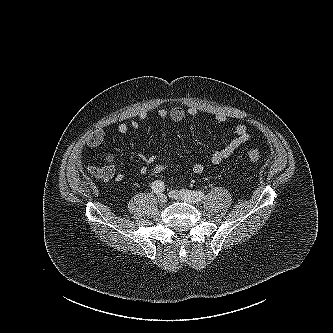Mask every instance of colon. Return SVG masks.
<instances>
[{
	"mask_svg": "<svg viewBox=\"0 0 333 333\" xmlns=\"http://www.w3.org/2000/svg\"><path fill=\"white\" fill-rule=\"evenodd\" d=\"M248 156H249V159L254 163L259 162L261 159L260 153L254 148H250L248 150ZM167 167H168V164L166 162H157L149 168L148 173L158 175V174L163 173L167 169Z\"/></svg>",
	"mask_w": 333,
	"mask_h": 333,
	"instance_id": "1",
	"label": "colon"
}]
</instances>
